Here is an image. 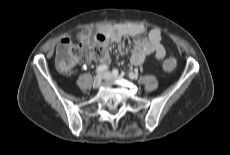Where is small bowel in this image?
I'll list each match as a JSON object with an SVG mask.
<instances>
[{
    "label": "small bowel",
    "mask_w": 230,
    "mask_h": 155,
    "mask_svg": "<svg viewBox=\"0 0 230 155\" xmlns=\"http://www.w3.org/2000/svg\"><path fill=\"white\" fill-rule=\"evenodd\" d=\"M145 31V28L139 24H116L105 25L95 29H85L78 34V40L86 44H100L104 47L103 57L96 60L99 64H107L110 61L107 47L111 43L120 44L125 37L138 38ZM162 35L159 29H152L144 39L137 40L131 55V63L135 66L142 65L146 58L154 55L161 60L166 56V48L161 43Z\"/></svg>",
    "instance_id": "c3829d8e"
}]
</instances>
